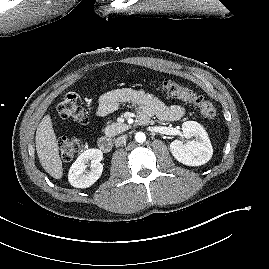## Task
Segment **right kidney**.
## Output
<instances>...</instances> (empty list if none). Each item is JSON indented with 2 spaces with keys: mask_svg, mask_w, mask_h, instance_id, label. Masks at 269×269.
Returning <instances> with one entry per match:
<instances>
[{
  "mask_svg": "<svg viewBox=\"0 0 269 269\" xmlns=\"http://www.w3.org/2000/svg\"><path fill=\"white\" fill-rule=\"evenodd\" d=\"M103 153L99 149H88L81 153L70 167L69 183L76 188H87L93 185L101 176ZM91 160V170L86 171V163Z\"/></svg>",
  "mask_w": 269,
  "mask_h": 269,
  "instance_id": "1",
  "label": "right kidney"
}]
</instances>
